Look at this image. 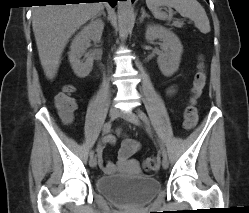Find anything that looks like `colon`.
I'll list each match as a JSON object with an SVG mask.
<instances>
[{"label":"colon","instance_id":"obj_1","mask_svg":"<svg viewBox=\"0 0 249 213\" xmlns=\"http://www.w3.org/2000/svg\"><path fill=\"white\" fill-rule=\"evenodd\" d=\"M206 82V70L203 62H200L198 70L194 76L191 95L184 109L183 119L184 127L192 129L198 121V111L196 108L197 98L200 96ZM73 88L65 87L62 93H59L55 98V104L59 113L67 120H71L77 105L74 98L71 96ZM160 160L157 156H149L143 161V169L146 172L155 171L159 168Z\"/></svg>","mask_w":249,"mask_h":213}]
</instances>
